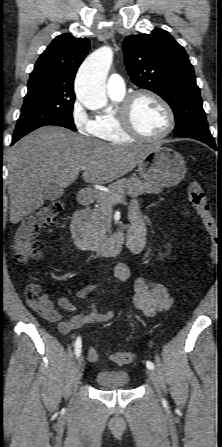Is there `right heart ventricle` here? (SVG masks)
<instances>
[{"label": "right heart ventricle", "instance_id": "1", "mask_svg": "<svg viewBox=\"0 0 222 447\" xmlns=\"http://www.w3.org/2000/svg\"><path fill=\"white\" fill-rule=\"evenodd\" d=\"M116 104L115 107L105 113H101L93 120L92 135L110 144H128L134 139L126 135L120 128L117 116L118 104L124 97L122 95L109 94Z\"/></svg>", "mask_w": 222, "mask_h": 447}]
</instances>
